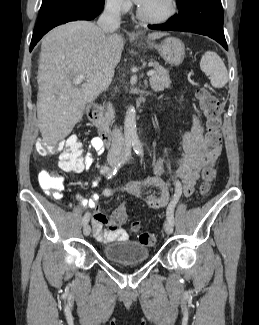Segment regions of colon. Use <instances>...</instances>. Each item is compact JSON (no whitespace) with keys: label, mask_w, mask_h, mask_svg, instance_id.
<instances>
[{"label":"colon","mask_w":259,"mask_h":325,"mask_svg":"<svg viewBox=\"0 0 259 325\" xmlns=\"http://www.w3.org/2000/svg\"><path fill=\"white\" fill-rule=\"evenodd\" d=\"M196 98L206 118V141L210 147H216L220 143V103L218 99L204 87H200L196 90ZM35 147L38 154L42 156L62 150L60 161L62 162L61 168L63 170L75 166L83 155L82 144L76 136H70L66 140L56 144H47L42 140H38ZM215 176L216 170L214 167H209L202 173L203 180L200 186V191L203 195H206L209 192L211 183ZM63 181L64 174L62 171L43 170L38 175L40 187L46 193L55 197L60 196V193L63 190ZM126 219V206L122 205L112 213L110 222L113 226H121L125 223ZM140 228L141 224L139 221L132 222L131 229L134 232H138ZM139 241L146 246H154L156 243V237L151 232H143L139 236Z\"/></svg>","instance_id":"obj_1"}]
</instances>
